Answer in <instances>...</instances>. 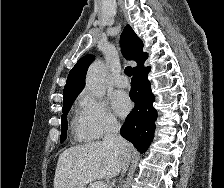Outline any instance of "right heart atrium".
<instances>
[{"instance_id": "right-heart-atrium-1", "label": "right heart atrium", "mask_w": 224, "mask_h": 188, "mask_svg": "<svg viewBox=\"0 0 224 188\" xmlns=\"http://www.w3.org/2000/svg\"><path fill=\"white\" fill-rule=\"evenodd\" d=\"M80 122L92 139H101L109 133L115 132L120 124L109 110L107 102L85 90L80 95Z\"/></svg>"}]
</instances>
